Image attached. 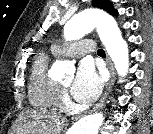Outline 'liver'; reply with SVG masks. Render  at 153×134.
Wrapping results in <instances>:
<instances>
[{"instance_id":"obj_1","label":"liver","mask_w":153,"mask_h":134,"mask_svg":"<svg viewBox=\"0 0 153 134\" xmlns=\"http://www.w3.org/2000/svg\"><path fill=\"white\" fill-rule=\"evenodd\" d=\"M24 122L17 128V134H54L63 127L65 120L60 116L47 112L27 110L20 116Z\"/></svg>"}]
</instances>
